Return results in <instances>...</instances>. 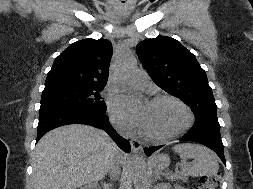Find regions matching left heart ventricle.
<instances>
[{
	"label": "left heart ventricle",
	"instance_id": "left-heart-ventricle-1",
	"mask_svg": "<svg viewBox=\"0 0 253 189\" xmlns=\"http://www.w3.org/2000/svg\"><path fill=\"white\" fill-rule=\"evenodd\" d=\"M185 120L183 110L169 101L148 104L143 130L155 135H167L179 128Z\"/></svg>",
	"mask_w": 253,
	"mask_h": 189
}]
</instances>
